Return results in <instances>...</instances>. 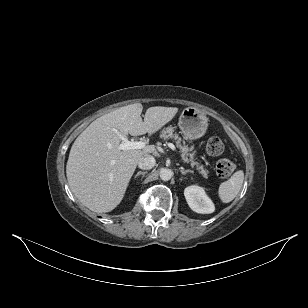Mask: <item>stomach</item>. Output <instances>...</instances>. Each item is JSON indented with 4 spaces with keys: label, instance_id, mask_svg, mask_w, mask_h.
Here are the masks:
<instances>
[{
    "label": "stomach",
    "instance_id": "0dacf381",
    "mask_svg": "<svg viewBox=\"0 0 308 308\" xmlns=\"http://www.w3.org/2000/svg\"><path fill=\"white\" fill-rule=\"evenodd\" d=\"M178 125L183 137L186 140L193 141L205 134L208 127V118L200 110L187 107L182 111Z\"/></svg>",
    "mask_w": 308,
    "mask_h": 308
}]
</instances>
